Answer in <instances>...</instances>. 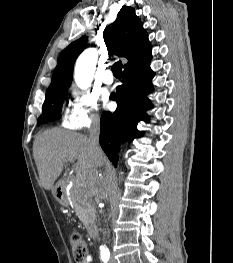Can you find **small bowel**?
<instances>
[{"instance_id": "obj_1", "label": "small bowel", "mask_w": 233, "mask_h": 263, "mask_svg": "<svg viewBox=\"0 0 233 263\" xmlns=\"http://www.w3.org/2000/svg\"><path fill=\"white\" fill-rule=\"evenodd\" d=\"M92 262V257L91 255H87L80 263H91Z\"/></svg>"}]
</instances>
